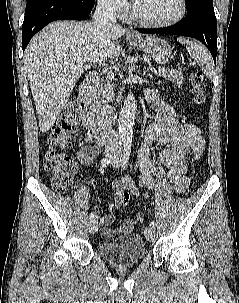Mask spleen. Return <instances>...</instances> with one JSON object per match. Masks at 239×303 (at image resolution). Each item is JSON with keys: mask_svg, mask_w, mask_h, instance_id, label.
Returning <instances> with one entry per match:
<instances>
[{"mask_svg": "<svg viewBox=\"0 0 239 303\" xmlns=\"http://www.w3.org/2000/svg\"><path fill=\"white\" fill-rule=\"evenodd\" d=\"M177 41L181 44L186 45L190 57L197 61L203 73L208 78H212L214 73L213 72L214 64L209 51L204 46L182 37L178 38Z\"/></svg>", "mask_w": 239, "mask_h": 303, "instance_id": "spleen-1", "label": "spleen"}]
</instances>
